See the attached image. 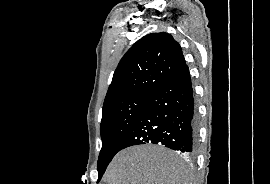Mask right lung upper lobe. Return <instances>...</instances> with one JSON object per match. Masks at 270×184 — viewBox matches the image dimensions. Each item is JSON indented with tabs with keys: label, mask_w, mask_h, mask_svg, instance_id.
Returning <instances> with one entry per match:
<instances>
[{
	"label": "right lung upper lobe",
	"mask_w": 270,
	"mask_h": 184,
	"mask_svg": "<svg viewBox=\"0 0 270 184\" xmlns=\"http://www.w3.org/2000/svg\"><path fill=\"white\" fill-rule=\"evenodd\" d=\"M185 65L182 49L170 34H148L121 59L104 105L129 96H149Z\"/></svg>",
	"instance_id": "1"
}]
</instances>
